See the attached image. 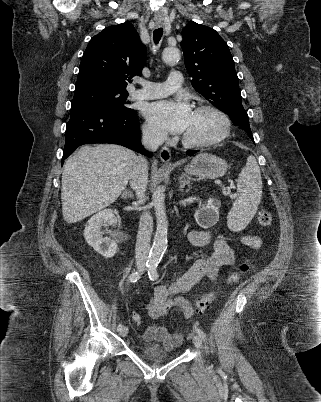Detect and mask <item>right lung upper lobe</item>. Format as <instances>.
<instances>
[{
	"label": "right lung upper lobe",
	"mask_w": 321,
	"mask_h": 402,
	"mask_svg": "<svg viewBox=\"0 0 321 402\" xmlns=\"http://www.w3.org/2000/svg\"><path fill=\"white\" fill-rule=\"evenodd\" d=\"M145 61L146 46L133 25L110 26L90 40L76 84L99 83L126 90L131 77L142 75Z\"/></svg>",
	"instance_id": "right-lung-upper-lobe-1"
}]
</instances>
